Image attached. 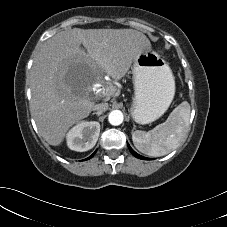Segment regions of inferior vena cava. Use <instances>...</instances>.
I'll return each instance as SVG.
<instances>
[{"mask_svg": "<svg viewBox=\"0 0 227 227\" xmlns=\"http://www.w3.org/2000/svg\"><path fill=\"white\" fill-rule=\"evenodd\" d=\"M108 109V103H100L93 106V110L97 112H105Z\"/></svg>", "mask_w": 227, "mask_h": 227, "instance_id": "602c4592", "label": "inferior vena cava"}]
</instances>
